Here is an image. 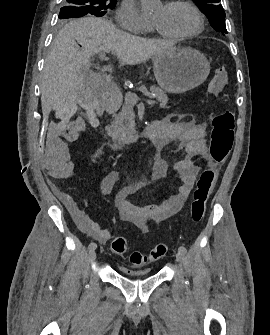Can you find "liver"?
I'll return each instance as SVG.
<instances>
[{"instance_id":"1","label":"liver","mask_w":270,"mask_h":335,"mask_svg":"<svg viewBox=\"0 0 270 335\" xmlns=\"http://www.w3.org/2000/svg\"><path fill=\"white\" fill-rule=\"evenodd\" d=\"M81 46V48H80ZM174 44L164 40H147L132 36L105 18H78L71 20L58 32L51 52L45 60L40 86L44 116L66 96L75 94L89 72L92 56L99 52H114L120 66L142 64L149 58L171 50Z\"/></svg>"}]
</instances>
